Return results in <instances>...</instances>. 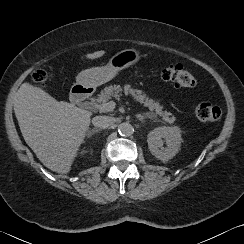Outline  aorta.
I'll return each mask as SVG.
<instances>
[{"mask_svg":"<svg viewBox=\"0 0 244 244\" xmlns=\"http://www.w3.org/2000/svg\"><path fill=\"white\" fill-rule=\"evenodd\" d=\"M118 132L122 136H129L133 133L134 129L130 123L123 122L118 125Z\"/></svg>","mask_w":244,"mask_h":244,"instance_id":"obj_1","label":"aorta"}]
</instances>
